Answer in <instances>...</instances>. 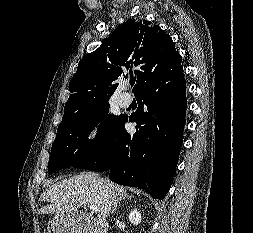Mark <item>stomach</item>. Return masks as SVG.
Masks as SVG:
<instances>
[{
    "instance_id": "stomach-1",
    "label": "stomach",
    "mask_w": 253,
    "mask_h": 233,
    "mask_svg": "<svg viewBox=\"0 0 253 233\" xmlns=\"http://www.w3.org/2000/svg\"><path fill=\"white\" fill-rule=\"evenodd\" d=\"M76 214L58 215L48 225L50 233H76Z\"/></svg>"
}]
</instances>
